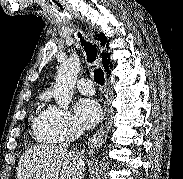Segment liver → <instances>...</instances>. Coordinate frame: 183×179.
<instances>
[{
    "instance_id": "obj_1",
    "label": "liver",
    "mask_w": 183,
    "mask_h": 179,
    "mask_svg": "<svg viewBox=\"0 0 183 179\" xmlns=\"http://www.w3.org/2000/svg\"><path fill=\"white\" fill-rule=\"evenodd\" d=\"M79 158L58 145L33 146L22 154L16 179H73Z\"/></svg>"
}]
</instances>
